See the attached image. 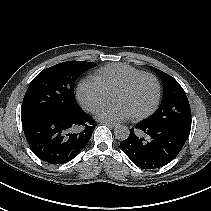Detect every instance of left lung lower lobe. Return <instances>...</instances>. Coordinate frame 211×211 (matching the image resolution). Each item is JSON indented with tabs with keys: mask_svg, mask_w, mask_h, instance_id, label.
I'll use <instances>...</instances> for the list:
<instances>
[{
	"mask_svg": "<svg viewBox=\"0 0 211 211\" xmlns=\"http://www.w3.org/2000/svg\"><path fill=\"white\" fill-rule=\"evenodd\" d=\"M145 133L146 137L140 134ZM188 136L166 126L140 122L120 143L129 159L142 169H156L170 163L181 151Z\"/></svg>",
	"mask_w": 211,
	"mask_h": 211,
	"instance_id": "obj_1",
	"label": "left lung lower lobe"
}]
</instances>
